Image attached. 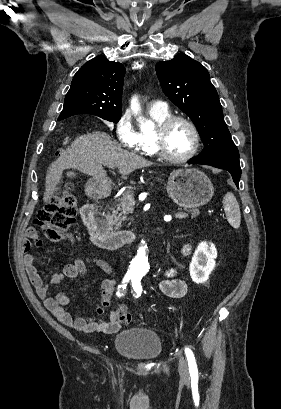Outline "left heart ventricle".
Listing matches in <instances>:
<instances>
[{"mask_svg":"<svg viewBox=\"0 0 281 409\" xmlns=\"http://www.w3.org/2000/svg\"><path fill=\"white\" fill-rule=\"evenodd\" d=\"M164 145L172 156L186 155L193 147V136L188 126L182 122L174 123L167 131Z\"/></svg>","mask_w":281,"mask_h":409,"instance_id":"left-heart-ventricle-1","label":"left heart ventricle"}]
</instances>
